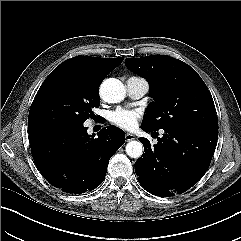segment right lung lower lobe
I'll use <instances>...</instances> for the list:
<instances>
[{
	"mask_svg": "<svg viewBox=\"0 0 241 241\" xmlns=\"http://www.w3.org/2000/svg\"><path fill=\"white\" fill-rule=\"evenodd\" d=\"M29 138L43 177L66 193L81 194L103 182L110 158L125 142V133L111 125L94 138L83 124H77L31 129Z\"/></svg>",
	"mask_w": 241,
	"mask_h": 241,
	"instance_id": "98d812e1",
	"label": "right lung lower lobe"
}]
</instances>
